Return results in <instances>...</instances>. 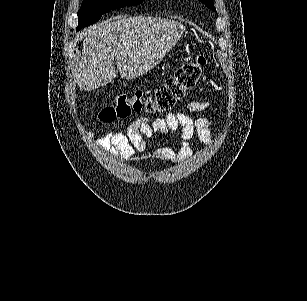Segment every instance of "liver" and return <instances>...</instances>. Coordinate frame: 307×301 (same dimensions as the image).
<instances>
[{
  "instance_id": "obj_1",
  "label": "liver",
  "mask_w": 307,
  "mask_h": 301,
  "mask_svg": "<svg viewBox=\"0 0 307 301\" xmlns=\"http://www.w3.org/2000/svg\"><path fill=\"white\" fill-rule=\"evenodd\" d=\"M184 30L178 20L126 14L84 28L75 82L81 90H95L112 82L117 72L126 80L142 76L159 64Z\"/></svg>"
}]
</instances>
